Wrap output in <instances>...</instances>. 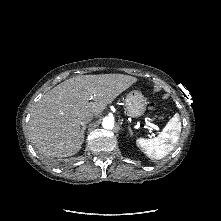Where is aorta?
Instances as JSON below:
<instances>
[{"mask_svg":"<svg viewBox=\"0 0 221 221\" xmlns=\"http://www.w3.org/2000/svg\"><path fill=\"white\" fill-rule=\"evenodd\" d=\"M114 119L111 118V117H105L103 118V121H102V126L105 128V129H113L114 127Z\"/></svg>","mask_w":221,"mask_h":221,"instance_id":"aorta-1","label":"aorta"}]
</instances>
